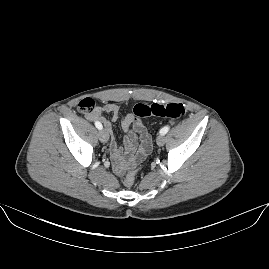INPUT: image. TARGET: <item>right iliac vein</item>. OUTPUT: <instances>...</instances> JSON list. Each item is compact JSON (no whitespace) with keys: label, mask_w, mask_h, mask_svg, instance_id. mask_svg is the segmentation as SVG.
Here are the masks:
<instances>
[{"label":"right iliac vein","mask_w":269,"mask_h":269,"mask_svg":"<svg viewBox=\"0 0 269 269\" xmlns=\"http://www.w3.org/2000/svg\"><path fill=\"white\" fill-rule=\"evenodd\" d=\"M98 136L100 141L103 143H106L109 140V134L106 129L100 130Z\"/></svg>","instance_id":"right-iliac-vein-1"}]
</instances>
